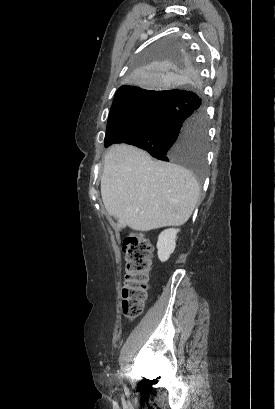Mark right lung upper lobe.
Listing matches in <instances>:
<instances>
[{
    "label": "right lung upper lobe",
    "mask_w": 275,
    "mask_h": 409,
    "mask_svg": "<svg viewBox=\"0 0 275 409\" xmlns=\"http://www.w3.org/2000/svg\"><path fill=\"white\" fill-rule=\"evenodd\" d=\"M146 91H148V90H135L134 86L123 85L117 90V92H116V94L114 96L112 107L117 105L119 102H121L122 100H124L125 98H127V97H129V96H131L133 94L146 92Z\"/></svg>",
    "instance_id": "cb5924a9"
}]
</instances>
